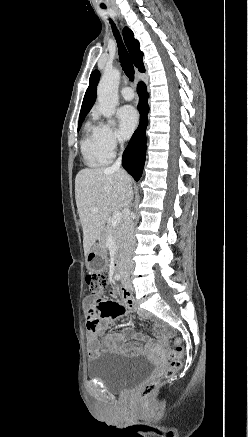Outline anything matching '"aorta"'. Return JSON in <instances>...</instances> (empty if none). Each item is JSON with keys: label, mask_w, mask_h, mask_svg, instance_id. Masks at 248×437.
<instances>
[{"label": "aorta", "mask_w": 248, "mask_h": 437, "mask_svg": "<svg viewBox=\"0 0 248 437\" xmlns=\"http://www.w3.org/2000/svg\"><path fill=\"white\" fill-rule=\"evenodd\" d=\"M120 82V72L116 69L105 70L97 87V98L99 110L104 117L113 124L111 117L115 113L118 104V86Z\"/></svg>", "instance_id": "aorta-1"}]
</instances>
